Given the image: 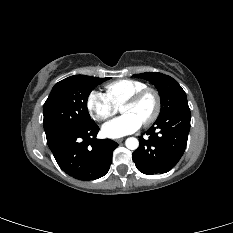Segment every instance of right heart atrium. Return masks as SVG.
<instances>
[{
  "label": "right heart atrium",
  "mask_w": 233,
  "mask_h": 233,
  "mask_svg": "<svg viewBox=\"0 0 233 233\" xmlns=\"http://www.w3.org/2000/svg\"><path fill=\"white\" fill-rule=\"evenodd\" d=\"M86 107L90 116L97 121H105L117 112V107L98 91H91L87 97Z\"/></svg>",
  "instance_id": "obj_1"
}]
</instances>
